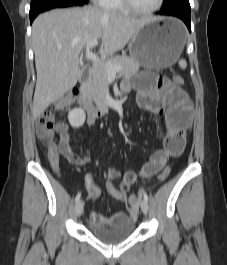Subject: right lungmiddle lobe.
I'll return each instance as SVG.
<instances>
[{
    "label": "right lung middle lobe",
    "mask_w": 227,
    "mask_h": 265,
    "mask_svg": "<svg viewBox=\"0 0 227 265\" xmlns=\"http://www.w3.org/2000/svg\"><path fill=\"white\" fill-rule=\"evenodd\" d=\"M58 1H64V0H31L29 14L39 13L45 10L46 8H48V6ZM82 1L88 2V0H82Z\"/></svg>",
    "instance_id": "obj_1"
}]
</instances>
